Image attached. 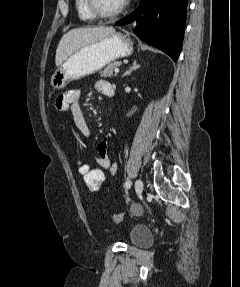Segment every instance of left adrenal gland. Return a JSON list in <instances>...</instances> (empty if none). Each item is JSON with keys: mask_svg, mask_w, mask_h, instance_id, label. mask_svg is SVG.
<instances>
[{"mask_svg": "<svg viewBox=\"0 0 240 287\" xmlns=\"http://www.w3.org/2000/svg\"><path fill=\"white\" fill-rule=\"evenodd\" d=\"M139 67L140 65L137 63V60H134L132 66L129 67V69L122 75V77L129 75L132 71L138 69Z\"/></svg>", "mask_w": 240, "mask_h": 287, "instance_id": "1", "label": "left adrenal gland"}]
</instances>
